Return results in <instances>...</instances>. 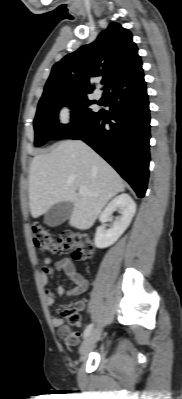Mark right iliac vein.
Returning a JSON list of instances; mask_svg holds the SVG:
<instances>
[{
  "label": "right iliac vein",
  "mask_w": 182,
  "mask_h": 399,
  "mask_svg": "<svg viewBox=\"0 0 182 399\" xmlns=\"http://www.w3.org/2000/svg\"><path fill=\"white\" fill-rule=\"evenodd\" d=\"M101 335V328H96L92 331V333L83 341L80 346L79 353L80 355H85L97 342L98 338Z\"/></svg>",
  "instance_id": "1"
}]
</instances>
